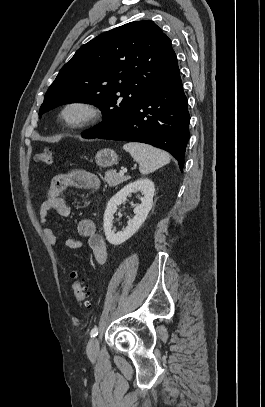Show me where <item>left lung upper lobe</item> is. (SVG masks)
I'll use <instances>...</instances> for the list:
<instances>
[{
  "mask_svg": "<svg viewBox=\"0 0 265 407\" xmlns=\"http://www.w3.org/2000/svg\"><path fill=\"white\" fill-rule=\"evenodd\" d=\"M179 71L170 39L153 21L130 22L82 45L47 90L39 116L62 104H94L103 121L91 139L123 121L156 85Z\"/></svg>",
  "mask_w": 265,
  "mask_h": 407,
  "instance_id": "5c2ea615",
  "label": "left lung upper lobe"
}]
</instances>
